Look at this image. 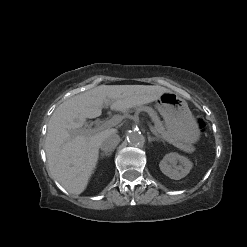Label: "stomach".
<instances>
[{"label":"stomach","instance_id":"1","mask_svg":"<svg viewBox=\"0 0 247 247\" xmlns=\"http://www.w3.org/2000/svg\"><path fill=\"white\" fill-rule=\"evenodd\" d=\"M167 131L179 142L192 146L200 139V129L187 102L169 91L156 100Z\"/></svg>","mask_w":247,"mask_h":247}]
</instances>
